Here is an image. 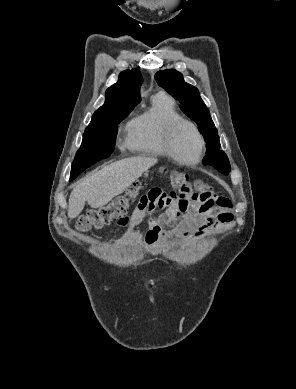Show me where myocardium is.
Wrapping results in <instances>:
<instances>
[{"instance_id": "myocardium-1", "label": "myocardium", "mask_w": 296, "mask_h": 389, "mask_svg": "<svg viewBox=\"0 0 296 389\" xmlns=\"http://www.w3.org/2000/svg\"><path fill=\"white\" fill-rule=\"evenodd\" d=\"M182 125H187L192 128V130L195 132L200 148H199V153L198 156L194 160H185L180 158L174 149V136L177 131V129L182 126ZM163 146L165 149L166 154L171 157L173 160H175L178 163L185 164V165H194L197 164L201 161L205 149H206V142L203 134L201 133L199 127L192 121L179 117L175 118L171 121H169L164 129L163 133Z\"/></svg>"}]
</instances>
